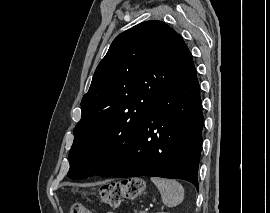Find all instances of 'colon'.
Listing matches in <instances>:
<instances>
[{"label":"colon","mask_w":270,"mask_h":213,"mask_svg":"<svg viewBox=\"0 0 270 213\" xmlns=\"http://www.w3.org/2000/svg\"><path fill=\"white\" fill-rule=\"evenodd\" d=\"M144 182L138 178L124 179L108 183L102 187L101 201L111 207H118L122 201L135 198L143 193ZM70 213H93L89 207L82 203H74Z\"/></svg>","instance_id":"obj_1"}]
</instances>
